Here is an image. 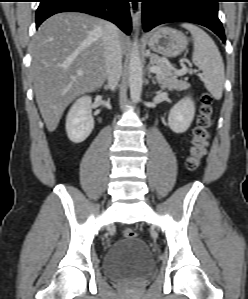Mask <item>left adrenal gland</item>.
Segmentation results:
<instances>
[{
	"mask_svg": "<svg viewBox=\"0 0 248 299\" xmlns=\"http://www.w3.org/2000/svg\"><path fill=\"white\" fill-rule=\"evenodd\" d=\"M148 74H149V78H150L151 77L150 72ZM152 83L156 84V81L154 80V78H152Z\"/></svg>",
	"mask_w": 248,
	"mask_h": 299,
	"instance_id": "a2214340",
	"label": "left adrenal gland"
}]
</instances>
